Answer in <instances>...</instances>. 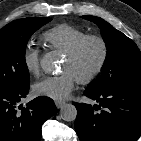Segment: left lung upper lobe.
I'll list each match as a JSON object with an SVG mask.
<instances>
[{"mask_svg": "<svg viewBox=\"0 0 141 141\" xmlns=\"http://www.w3.org/2000/svg\"><path fill=\"white\" fill-rule=\"evenodd\" d=\"M82 18L99 26L107 47L102 75L88 87V90L96 92L115 85L141 86V52L137 45L102 18Z\"/></svg>", "mask_w": 141, "mask_h": 141, "instance_id": "1", "label": "left lung upper lobe"}]
</instances>
